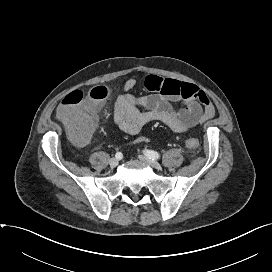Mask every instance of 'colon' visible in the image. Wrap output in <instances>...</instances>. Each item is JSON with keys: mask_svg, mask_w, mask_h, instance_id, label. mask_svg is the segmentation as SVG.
Masks as SVG:
<instances>
[{"mask_svg": "<svg viewBox=\"0 0 272 272\" xmlns=\"http://www.w3.org/2000/svg\"><path fill=\"white\" fill-rule=\"evenodd\" d=\"M108 94V90L100 86L89 93L74 91L63 99L58 116L75 143L83 145L89 141L95 128L97 105ZM185 144L190 149H196L199 147V140L188 138Z\"/></svg>", "mask_w": 272, "mask_h": 272, "instance_id": "5ec220e1", "label": "colon"}]
</instances>
